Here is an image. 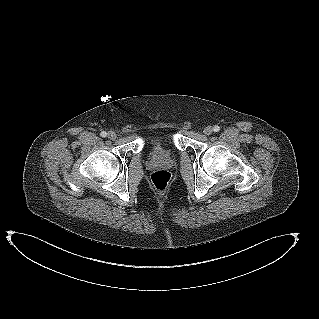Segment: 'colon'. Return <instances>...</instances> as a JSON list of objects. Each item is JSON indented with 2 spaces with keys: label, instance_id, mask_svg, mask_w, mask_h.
<instances>
[{
  "label": "colon",
  "instance_id": "5ec220e1",
  "mask_svg": "<svg viewBox=\"0 0 319 319\" xmlns=\"http://www.w3.org/2000/svg\"><path fill=\"white\" fill-rule=\"evenodd\" d=\"M171 177L168 170L158 169L152 173L151 182L156 190L164 191L169 186Z\"/></svg>",
  "mask_w": 319,
  "mask_h": 319
}]
</instances>
